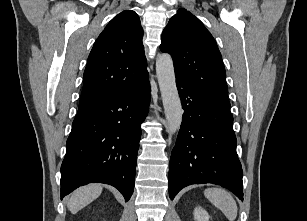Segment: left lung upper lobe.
<instances>
[{
	"label": "left lung upper lobe",
	"instance_id": "5c2ea615",
	"mask_svg": "<svg viewBox=\"0 0 307 221\" xmlns=\"http://www.w3.org/2000/svg\"><path fill=\"white\" fill-rule=\"evenodd\" d=\"M160 49L172 56L176 76L198 93L230 108L220 51L198 18L179 9L162 33Z\"/></svg>",
	"mask_w": 307,
	"mask_h": 221
}]
</instances>
